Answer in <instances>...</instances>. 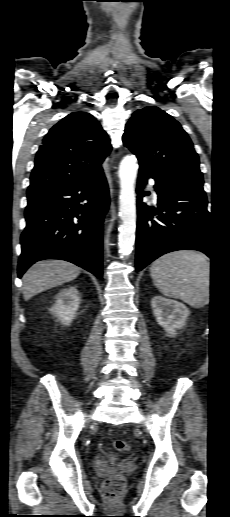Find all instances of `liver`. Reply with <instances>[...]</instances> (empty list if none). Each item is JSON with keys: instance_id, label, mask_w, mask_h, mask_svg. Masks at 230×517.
Segmentation results:
<instances>
[{"instance_id": "6515ba94", "label": "liver", "mask_w": 230, "mask_h": 517, "mask_svg": "<svg viewBox=\"0 0 230 517\" xmlns=\"http://www.w3.org/2000/svg\"><path fill=\"white\" fill-rule=\"evenodd\" d=\"M81 268L63 260H42L31 266L23 275V297L28 301L47 289L74 280Z\"/></svg>"}]
</instances>
